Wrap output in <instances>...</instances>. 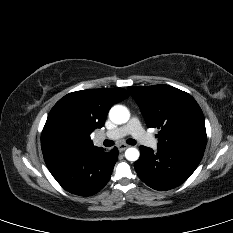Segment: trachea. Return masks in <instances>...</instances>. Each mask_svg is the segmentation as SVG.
<instances>
[{
	"mask_svg": "<svg viewBox=\"0 0 233 233\" xmlns=\"http://www.w3.org/2000/svg\"><path fill=\"white\" fill-rule=\"evenodd\" d=\"M126 142H127L129 145H135V144H136V141H135L134 139H128ZM103 144H104V146H106V147H110V146H113V145H114V142L111 141V140H105V141L103 142Z\"/></svg>",
	"mask_w": 233,
	"mask_h": 233,
	"instance_id": "1",
	"label": "trachea"
}]
</instances>
